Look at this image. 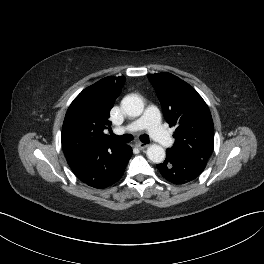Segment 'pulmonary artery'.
<instances>
[{"mask_svg":"<svg viewBox=\"0 0 264 264\" xmlns=\"http://www.w3.org/2000/svg\"><path fill=\"white\" fill-rule=\"evenodd\" d=\"M147 128L151 136L162 146L172 144V137L164 130L160 121V112L154 106L148 107L146 113L139 119L130 122L116 130L117 133H135Z\"/></svg>","mask_w":264,"mask_h":264,"instance_id":"pulmonary-artery-1","label":"pulmonary artery"}]
</instances>
